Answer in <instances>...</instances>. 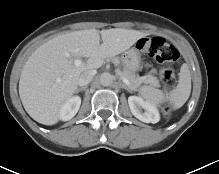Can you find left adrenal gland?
<instances>
[{
	"label": "left adrenal gland",
	"mask_w": 219,
	"mask_h": 174,
	"mask_svg": "<svg viewBox=\"0 0 219 174\" xmlns=\"http://www.w3.org/2000/svg\"><path fill=\"white\" fill-rule=\"evenodd\" d=\"M122 88L126 89L128 92H132V89L122 83Z\"/></svg>",
	"instance_id": "obj_1"
}]
</instances>
